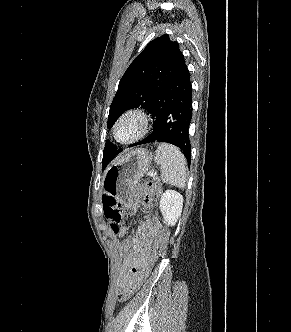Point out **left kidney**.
Segmentation results:
<instances>
[{"mask_svg":"<svg viewBox=\"0 0 291 332\" xmlns=\"http://www.w3.org/2000/svg\"><path fill=\"white\" fill-rule=\"evenodd\" d=\"M183 196L175 190H166L160 200V211L168 225L174 226L181 216Z\"/></svg>","mask_w":291,"mask_h":332,"instance_id":"left-kidney-1","label":"left kidney"}]
</instances>
